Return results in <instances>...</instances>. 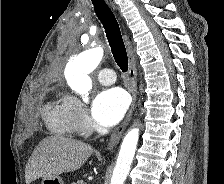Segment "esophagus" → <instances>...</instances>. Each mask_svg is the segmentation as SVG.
I'll use <instances>...</instances> for the list:
<instances>
[{"instance_id":"34e87169","label":"esophagus","mask_w":224,"mask_h":184,"mask_svg":"<svg viewBox=\"0 0 224 184\" xmlns=\"http://www.w3.org/2000/svg\"><path fill=\"white\" fill-rule=\"evenodd\" d=\"M111 6L115 9V6L113 4H111ZM124 39H125V44L127 47V53H128V59H129V71H128L129 79H130L129 91L132 94V103L124 121L115 129V131L111 135L108 146L106 148L107 150L113 149L119 142L121 136L123 135L126 127L128 126L131 120V117L135 108V104H136L137 77H136V68H135V53H134L132 43L127 34H125Z\"/></svg>"}]
</instances>
